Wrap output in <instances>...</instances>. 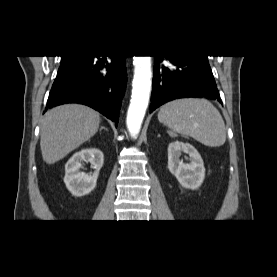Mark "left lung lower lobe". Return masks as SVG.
<instances>
[{
    "label": "left lung lower lobe",
    "mask_w": 277,
    "mask_h": 277,
    "mask_svg": "<svg viewBox=\"0 0 277 277\" xmlns=\"http://www.w3.org/2000/svg\"><path fill=\"white\" fill-rule=\"evenodd\" d=\"M171 65H160L163 56L155 59L150 112L178 98L198 97L221 103L207 56H164Z\"/></svg>",
    "instance_id": "0a47b994"
}]
</instances>
